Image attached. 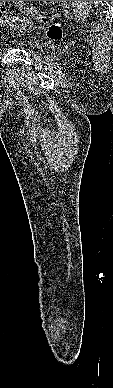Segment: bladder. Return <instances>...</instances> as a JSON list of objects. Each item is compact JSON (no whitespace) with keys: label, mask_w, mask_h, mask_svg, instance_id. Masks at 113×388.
<instances>
[{"label":"bladder","mask_w":113,"mask_h":388,"mask_svg":"<svg viewBox=\"0 0 113 388\" xmlns=\"http://www.w3.org/2000/svg\"><path fill=\"white\" fill-rule=\"evenodd\" d=\"M30 24L28 23V22H25V23H23L22 25H21V29H28V28H30ZM41 49H42V45L41 44H35L33 47H32V50L34 51V52H39V51H41Z\"/></svg>","instance_id":"bladder-1"}]
</instances>
